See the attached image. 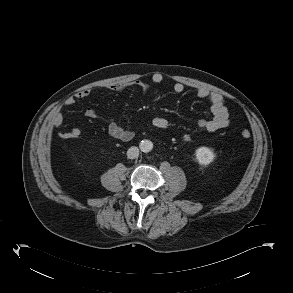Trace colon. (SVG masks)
<instances>
[{
    "mask_svg": "<svg viewBox=\"0 0 293 293\" xmlns=\"http://www.w3.org/2000/svg\"><path fill=\"white\" fill-rule=\"evenodd\" d=\"M241 135H242V137H243L244 139H248V138H250L251 133H250L249 130L245 129V130L242 131Z\"/></svg>",
    "mask_w": 293,
    "mask_h": 293,
    "instance_id": "colon-1",
    "label": "colon"
}]
</instances>
